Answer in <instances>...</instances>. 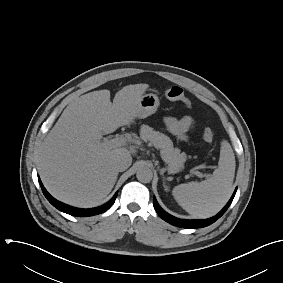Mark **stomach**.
<instances>
[{"label": "stomach", "mask_w": 283, "mask_h": 283, "mask_svg": "<svg viewBox=\"0 0 283 283\" xmlns=\"http://www.w3.org/2000/svg\"><path fill=\"white\" fill-rule=\"evenodd\" d=\"M160 105L159 97L156 94L149 93L140 97L136 108L135 117L139 119L146 118L154 114Z\"/></svg>", "instance_id": "stomach-1"}]
</instances>
